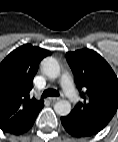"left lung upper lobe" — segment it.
<instances>
[{"label": "left lung upper lobe", "instance_id": "1", "mask_svg": "<svg viewBox=\"0 0 118 142\" xmlns=\"http://www.w3.org/2000/svg\"><path fill=\"white\" fill-rule=\"evenodd\" d=\"M66 58L83 98L69 115L98 133L117 111V76L109 64L93 50L68 52Z\"/></svg>", "mask_w": 118, "mask_h": 142}]
</instances>
